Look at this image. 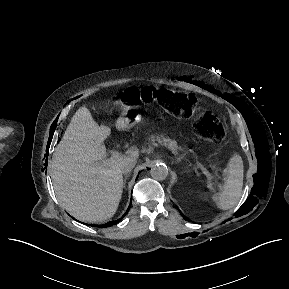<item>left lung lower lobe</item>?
I'll return each mask as SVG.
<instances>
[{"mask_svg":"<svg viewBox=\"0 0 289 289\" xmlns=\"http://www.w3.org/2000/svg\"><path fill=\"white\" fill-rule=\"evenodd\" d=\"M180 213H181V212H180ZM181 215L183 216V218H185L184 215H183L182 213H181ZM185 219H186V218H185Z\"/></svg>","mask_w":289,"mask_h":289,"instance_id":"left-lung-lower-lobe-1","label":"left lung lower lobe"}]
</instances>
